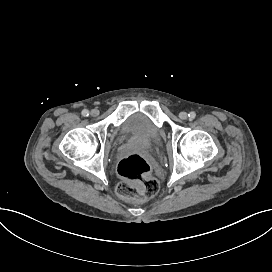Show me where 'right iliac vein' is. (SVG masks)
<instances>
[{
	"label": "right iliac vein",
	"instance_id": "right-iliac-vein-1",
	"mask_svg": "<svg viewBox=\"0 0 272 272\" xmlns=\"http://www.w3.org/2000/svg\"><path fill=\"white\" fill-rule=\"evenodd\" d=\"M90 114L93 116V117H96L99 115V110L98 109H93L91 110Z\"/></svg>",
	"mask_w": 272,
	"mask_h": 272
}]
</instances>
